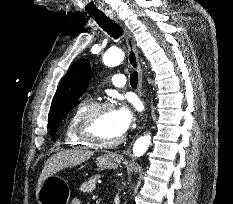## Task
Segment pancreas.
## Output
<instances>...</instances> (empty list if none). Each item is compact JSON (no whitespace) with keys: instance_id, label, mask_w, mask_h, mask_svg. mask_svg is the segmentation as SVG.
<instances>
[{"instance_id":"1","label":"pancreas","mask_w":233,"mask_h":204,"mask_svg":"<svg viewBox=\"0 0 233 204\" xmlns=\"http://www.w3.org/2000/svg\"><path fill=\"white\" fill-rule=\"evenodd\" d=\"M100 178V175H94L90 177L87 181L82 183L80 191L83 193H91L96 189L97 180Z\"/></svg>"}]
</instances>
